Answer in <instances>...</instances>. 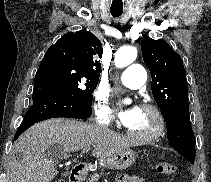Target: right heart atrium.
Instances as JSON below:
<instances>
[{"label": "right heart atrium", "mask_w": 211, "mask_h": 182, "mask_svg": "<svg viewBox=\"0 0 211 182\" xmlns=\"http://www.w3.org/2000/svg\"><path fill=\"white\" fill-rule=\"evenodd\" d=\"M92 111L95 120L99 124L107 125L114 121V114L108 103L107 96L102 92H96L94 94Z\"/></svg>", "instance_id": "d8ad5b80"}]
</instances>
